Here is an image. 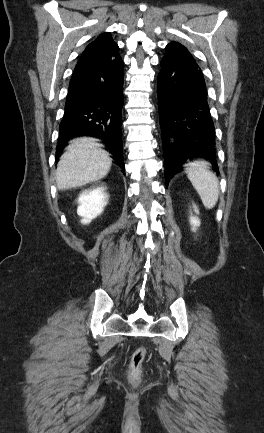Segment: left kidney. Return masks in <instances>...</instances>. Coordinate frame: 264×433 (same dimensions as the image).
Masks as SVG:
<instances>
[{"label": "left kidney", "instance_id": "obj_1", "mask_svg": "<svg viewBox=\"0 0 264 433\" xmlns=\"http://www.w3.org/2000/svg\"><path fill=\"white\" fill-rule=\"evenodd\" d=\"M194 211L196 213H199V211L197 210L196 206L194 205ZM190 224L192 225V231H196V227H198L200 225V220L197 217L191 216L190 217Z\"/></svg>", "mask_w": 264, "mask_h": 433}]
</instances>
